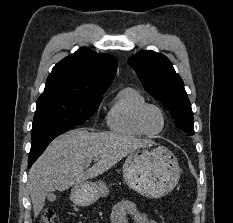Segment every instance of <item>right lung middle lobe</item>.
<instances>
[{
    "mask_svg": "<svg viewBox=\"0 0 233 223\" xmlns=\"http://www.w3.org/2000/svg\"><path fill=\"white\" fill-rule=\"evenodd\" d=\"M100 100L101 97L61 94L40 96L33 119L30 155L43 153L54 138L88 120Z\"/></svg>",
    "mask_w": 233,
    "mask_h": 223,
    "instance_id": "1",
    "label": "right lung middle lobe"
}]
</instances>
